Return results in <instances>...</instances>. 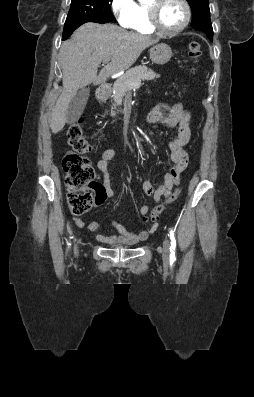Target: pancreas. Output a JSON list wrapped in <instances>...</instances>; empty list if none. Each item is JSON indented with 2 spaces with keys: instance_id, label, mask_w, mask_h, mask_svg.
Segmentation results:
<instances>
[{
  "instance_id": "pancreas-1",
  "label": "pancreas",
  "mask_w": 254,
  "mask_h": 397,
  "mask_svg": "<svg viewBox=\"0 0 254 397\" xmlns=\"http://www.w3.org/2000/svg\"><path fill=\"white\" fill-rule=\"evenodd\" d=\"M159 77L160 75L155 74L154 71L145 65H139L129 69L124 75L119 77L113 85L114 94L112 95V98L115 104L120 105L122 103L123 97H129L131 90L138 87L135 84L141 83V81L144 80H154L155 78ZM111 116H115L113 107L111 110Z\"/></svg>"
}]
</instances>
